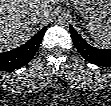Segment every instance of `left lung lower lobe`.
<instances>
[{
	"mask_svg": "<svg viewBox=\"0 0 111 106\" xmlns=\"http://www.w3.org/2000/svg\"><path fill=\"white\" fill-rule=\"evenodd\" d=\"M72 40L87 61L98 66H111V49H97L90 46L70 25Z\"/></svg>",
	"mask_w": 111,
	"mask_h": 106,
	"instance_id": "0a47b994",
	"label": "left lung lower lobe"
}]
</instances>
